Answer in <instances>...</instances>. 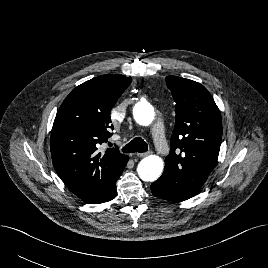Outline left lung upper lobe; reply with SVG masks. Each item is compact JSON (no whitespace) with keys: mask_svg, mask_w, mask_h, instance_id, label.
<instances>
[{"mask_svg":"<svg viewBox=\"0 0 268 268\" xmlns=\"http://www.w3.org/2000/svg\"><path fill=\"white\" fill-rule=\"evenodd\" d=\"M176 102L170 154L157 182L195 196L213 170L222 138L220 111L200 83L177 76L165 78Z\"/></svg>","mask_w":268,"mask_h":268,"instance_id":"obj_1","label":"left lung upper lobe"}]
</instances>
